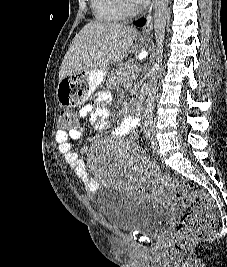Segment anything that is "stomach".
<instances>
[{"instance_id":"obj_1","label":"stomach","mask_w":227,"mask_h":267,"mask_svg":"<svg viewBox=\"0 0 227 267\" xmlns=\"http://www.w3.org/2000/svg\"><path fill=\"white\" fill-rule=\"evenodd\" d=\"M108 70L98 69L72 73L69 77H61L58 96L60 107H78L86 103V96L92 94L105 80Z\"/></svg>"}]
</instances>
